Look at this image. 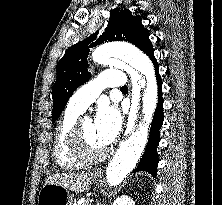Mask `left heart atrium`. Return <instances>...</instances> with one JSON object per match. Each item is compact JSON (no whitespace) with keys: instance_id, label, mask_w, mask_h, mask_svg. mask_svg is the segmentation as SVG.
I'll return each instance as SVG.
<instances>
[{"instance_id":"39dd6f15","label":"left heart atrium","mask_w":222,"mask_h":205,"mask_svg":"<svg viewBox=\"0 0 222 205\" xmlns=\"http://www.w3.org/2000/svg\"><path fill=\"white\" fill-rule=\"evenodd\" d=\"M121 124V115L115 107L109 105L99 106L93 122L98 141L103 146H108L117 137Z\"/></svg>"}]
</instances>
